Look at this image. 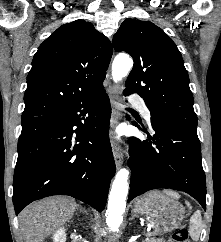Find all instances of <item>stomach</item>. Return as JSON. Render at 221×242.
<instances>
[{"mask_svg":"<svg viewBox=\"0 0 221 242\" xmlns=\"http://www.w3.org/2000/svg\"><path fill=\"white\" fill-rule=\"evenodd\" d=\"M134 211L144 215L160 234L178 228L185 213L182 204L159 191H152L138 198L134 203Z\"/></svg>","mask_w":221,"mask_h":242,"instance_id":"stomach-1","label":"stomach"}]
</instances>
